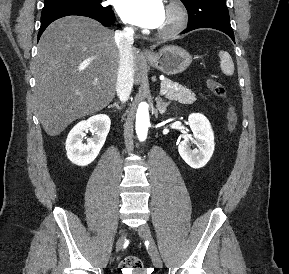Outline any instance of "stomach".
Returning a JSON list of instances; mask_svg holds the SVG:
<instances>
[{"instance_id": "0dacf381", "label": "stomach", "mask_w": 289, "mask_h": 274, "mask_svg": "<svg viewBox=\"0 0 289 274\" xmlns=\"http://www.w3.org/2000/svg\"><path fill=\"white\" fill-rule=\"evenodd\" d=\"M148 63L167 75H176L186 70L192 62L191 55L175 45L165 46L157 53L146 57Z\"/></svg>"}]
</instances>
